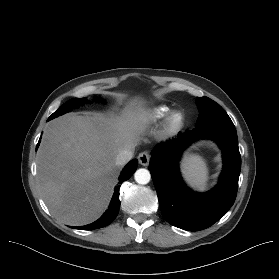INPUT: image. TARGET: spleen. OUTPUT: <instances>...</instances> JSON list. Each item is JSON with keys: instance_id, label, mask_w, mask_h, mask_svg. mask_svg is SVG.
<instances>
[{"instance_id": "spleen-1", "label": "spleen", "mask_w": 279, "mask_h": 279, "mask_svg": "<svg viewBox=\"0 0 279 279\" xmlns=\"http://www.w3.org/2000/svg\"><path fill=\"white\" fill-rule=\"evenodd\" d=\"M182 173L186 181L196 190L203 191L207 186L208 168L198 155H188L182 163Z\"/></svg>"}]
</instances>
